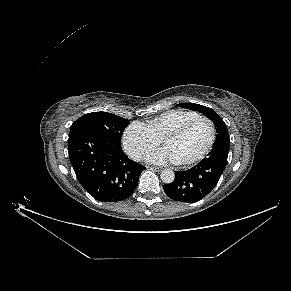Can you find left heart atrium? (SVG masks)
Segmentation results:
<instances>
[{
	"label": "left heart atrium",
	"mask_w": 291,
	"mask_h": 291,
	"mask_svg": "<svg viewBox=\"0 0 291 291\" xmlns=\"http://www.w3.org/2000/svg\"><path fill=\"white\" fill-rule=\"evenodd\" d=\"M147 161L154 164H166L169 162H176L177 160L167 147H163L151 151L147 155Z\"/></svg>",
	"instance_id": "left-heart-atrium-1"
}]
</instances>
